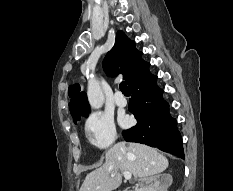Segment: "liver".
Wrapping results in <instances>:
<instances>
[{
    "mask_svg": "<svg viewBox=\"0 0 233 191\" xmlns=\"http://www.w3.org/2000/svg\"><path fill=\"white\" fill-rule=\"evenodd\" d=\"M168 165V159L154 148L118 142L106 152L105 163L87 174L79 191H113L122 182L120 171L146 178L163 172Z\"/></svg>",
    "mask_w": 233,
    "mask_h": 191,
    "instance_id": "1",
    "label": "liver"
}]
</instances>
